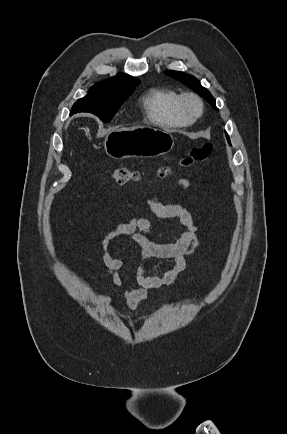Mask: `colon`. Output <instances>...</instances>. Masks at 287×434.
Here are the masks:
<instances>
[{"mask_svg":"<svg viewBox=\"0 0 287 434\" xmlns=\"http://www.w3.org/2000/svg\"><path fill=\"white\" fill-rule=\"evenodd\" d=\"M212 152L210 144H203L191 149L189 154L182 158L180 165L184 168L190 167L195 163L205 162ZM172 174V169L162 167L158 171V175L162 178L169 177ZM112 178L121 185H127L138 182L142 179L143 173L139 169L130 167H117L111 172Z\"/></svg>","mask_w":287,"mask_h":434,"instance_id":"5ec220e1","label":"colon"}]
</instances>
